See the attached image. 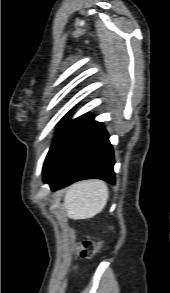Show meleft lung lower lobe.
Returning <instances> with one entry per match:
<instances>
[{"instance_id":"1","label":"left lung lower lobe","mask_w":170,"mask_h":293,"mask_svg":"<svg viewBox=\"0 0 170 293\" xmlns=\"http://www.w3.org/2000/svg\"><path fill=\"white\" fill-rule=\"evenodd\" d=\"M113 166L109 136L102 123L91 118L43 173V179L53 190L92 178L115 184Z\"/></svg>"}]
</instances>
